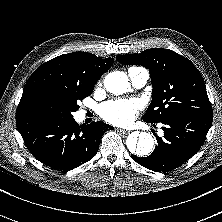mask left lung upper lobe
<instances>
[{
    "label": "left lung upper lobe",
    "mask_w": 222,
    "mask_h": 222,
    "mask_svg": "<svg viewBox=\"0 0 222 222\" xmlns=\"http://www.w3.org/2000/svg\"><path fill=\"white\" fill-rule=\"evenodd\" d=\"M116 60L124 65H141L150 71L153 95L143 116L145 122L158 123L184 113L213 115L204 79L187 58L169 49L152 48L118 55Z\"/></svg>",
    "instance_id": "1"
}]
</instances>
